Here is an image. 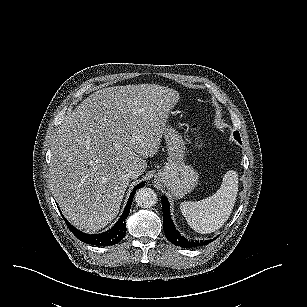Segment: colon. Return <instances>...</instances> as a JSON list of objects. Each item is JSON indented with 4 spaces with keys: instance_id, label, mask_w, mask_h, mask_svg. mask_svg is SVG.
I'll list each match as a JSON object with an SVG mask.
<instances>
[{
    "instance_id": "obj_1",
    "label": "colon",
    "mask_w": 307,
    "mask_h": 307,
    "mask_svg": "<svg viewBox=\"0 0 307 307\" xmlns=\"http://www.w3.org/2000/svg\"><path fill=\"white\" fill-rule=\"evenodd\" d=\"M193 130H194L196 133H199V132H200V125L194 124V125H193ZM196 145H197L199 148L203 147V146H204V141H203V139L199 138V139L197 140V142H196Z\"/></svg>"
}]
</instances>
